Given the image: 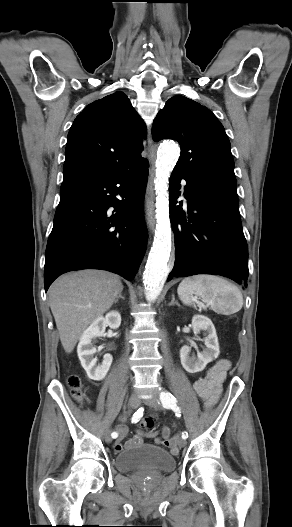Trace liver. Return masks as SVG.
Wrapping results in <instances>:
<instances>
[{
	"label": "liver",
	"mask_w": 292,
	"mask_h": 527,
	"mask_svg": "<svg viewBox=\"0 0 292 527\" xmlns=\"http://www.w3.org/2000/svg\"><path fill=\"white\" fill-rule=\"evenodd\" d=\"M122 290L119 276L100 270L69 273L52 283L49 305L65 352L73 351L87 326L110 309Z\"/></svg>",
	"instance_id": "obj_1"
}]
</instances>
